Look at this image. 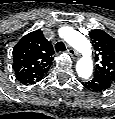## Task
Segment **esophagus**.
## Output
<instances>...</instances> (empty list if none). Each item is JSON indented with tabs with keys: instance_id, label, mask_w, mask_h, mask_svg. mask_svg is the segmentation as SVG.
Listing matches in <instances>:
<instances>
[{
	"instance_id": "34e87169",
	"label": "esophagus",
	"mask_w": 115,
	"mask_h": 119,
	"mask_svg": "<svg viewBox=\"0 0 115 119\" xmlns=\"http://www.w3.org/2000/svg\"><path fill=\"white\" fill-rule=\"evenodd\" d=\"M68 53L70 54V56L73 58V59H77L78 58V53L76 50H74L73 48H69L68 50Z\"/></svg>"
}]
</instances>
